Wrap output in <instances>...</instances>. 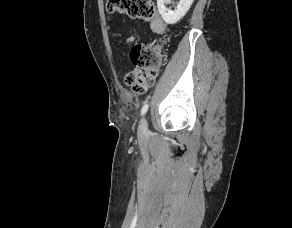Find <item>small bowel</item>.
<instances>
[{"label": "small bowel", "instance_id": "small-bowel-1", "mask_svg": "<svg viewBox=\"0 0 292 228\" xmlns=\"http://www.w3.org/2000/svg\"><path fill=\"white\" fill-rule=\"evenodd\" d=\"M135 40H136V37H135V36H131V37L128 38L127 43H128V44H131V43H133ZM152 85H153V84H152Z\"/></svg>", "mask_w": 292, "mask_h": 228}]
</instances>
